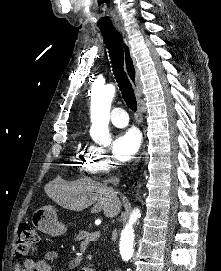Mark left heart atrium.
Instances as JSON below:
<instances>
[{
  "label": "left heart atrium",
  "mask_w": 221,
  "mask_h": 271,
  "mask_svg": "<svg viewBox=\"0 0 221 271\" xmlns=\"http://www.w3.org/2000/svg\"><path fill=\"white\" fill-rule=\"evenodd\" d=\"M176 94V92H172ZM141 134L136 129H130L121 133L118 137V142H113L111 150L113 157H132L139 146Z\"/></svg>",
  "instance_id": "obj_1"
}]
</instances>
